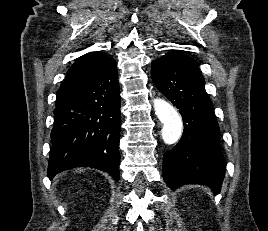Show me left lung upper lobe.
Segmentation results:
<instances>
[{"instance_id":"1","label":"left lung upper lobe","mask_w":268,"mask_h":231,"mask_svg":"<svg viewBox=\"0 0 268 231\" xmlns=\"http://www.w3.org/2000/svg\"><path fill=\"white\" fill-rule=\"evenodd\" d=\"M163 57L175 60V61L189 67L190 69H192L198 73H201L196 60L189 57L188 55L182 53L181 51L173 50L172 52L164 55Z\"/></svg>"}]
</instances>
